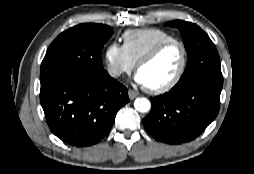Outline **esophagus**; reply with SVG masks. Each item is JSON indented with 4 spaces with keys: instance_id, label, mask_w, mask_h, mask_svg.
I'll return each mask as SVG.
<instances>
[{
    "instance_id": "esophagus-1",
    "label": "esophagus",
    "mask_w": 254,
    "mask_h": 174,
    "mask_svg": "<svg viewBox=\"0 0 254 174\" xmlns=\"http://www.w3.org/2000/svg\"><path fill=\"white\" fill-rule=\"evenodd\" d=\"M128 95H129L130 100H133L134 98H136L138 96V93L136 91L130 89L128 91Z\"/></svg>"
}]
</instances>
